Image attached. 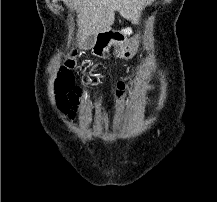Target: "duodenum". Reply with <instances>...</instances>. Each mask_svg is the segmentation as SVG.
<instances>
[{
  "mask_svg": "<svg viewBox=\"0 0 217 202\" xmlns=\"http://www.w3.org/2000/svg\"><path fill=\"white\" fill-rule=\"evenodd\" d=\"M120 40L119 33L112 30L102 31L97 35L93 53L101 57H108L113 53Z\"/></svg>",
  "mask_w": 217,
  "mask_h": 202,
  "instance_id": "obj_1",
  "label": "duodenum"
}]
</instances>
